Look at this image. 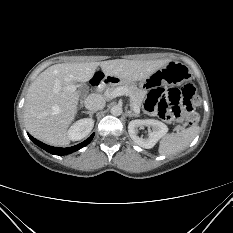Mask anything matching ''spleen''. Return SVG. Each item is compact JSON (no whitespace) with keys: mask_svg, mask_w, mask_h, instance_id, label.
<instances>
[{"mask_svg":"<svg viewBox=\"0 0 233 233\" xmlns=\"http://www.w3.org/2000/svg\"><path fill=\"white\" fill-rule=\"evenodd\" d=\"M200 128L191 126L177 133L165 135L159 144V154L170 155L183 151L197 136Z\"/></svg>","mask_w":233,"mask_h":233,"instance_id":"obj_1","label":"spleen"}]
</instances>
